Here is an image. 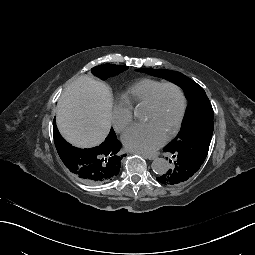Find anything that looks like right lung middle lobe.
Instances as JSON below:
<instances>
[{
  "label": "right lung middle lobe",
  "mask_w": 255,
  "mask_h": 255,
  "mask_svg": "<svg viewBox=\"0 0 255 255\" xmlns=\"http://www.w3.org/2000/svg\"><path fill=\"white\" fill-rule=\"evenodd\" d=\"M128 69L125 65H115V64H104L95 66L91 69L92 74L99 77L102 80L109 78L110 76H115Z\"/></svg>",
  "instance_id": "1"
}]
</instances>
